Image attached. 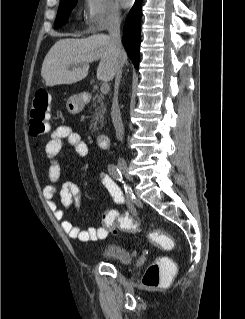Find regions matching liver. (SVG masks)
<instances>
[{
	"instance_id": "6515ba94",
	"label": "liver",
	"mask_w": 245,
	"mask_h": 319,
	"mask_svg": "<svg viewBox=\"0 0 245 319\" xmlns=\"http://www.w3.org/2000/svg\"><path fill=\"white\" fill-rule=\"evenodd\" d=\"M98 60L97 78L111 81L116 73L117 59L109 36L97 34L84 39H60L47 53L41 76L46 86L70 85L84 79L89 64ZM125 61L124 53L122 66ZM70 66H73L72 70H69Z\"/></svg>"
}]
</instances>
